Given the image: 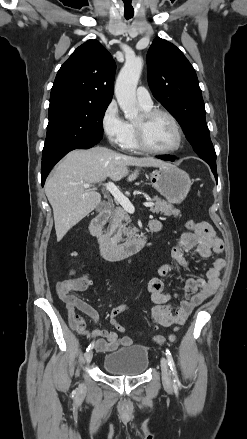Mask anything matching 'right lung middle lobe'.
I'll return each mask as SVG.
<instances>
[{"label":"right lung middle lobe","mask_w":247,"mask_h":439,"mask_svg":"<svg viewBox=\"0 0 247 439\" xmlns=\"http://www.w3.org/2000/svg\"><path fill=\"white\" fill-rule=\"evenodd\" d=\"M108 105L69 101L50 105L42 158L62 150L99 143Z\"/></svg>","instance_id":"dd1d6c3e"}]
</instances>
